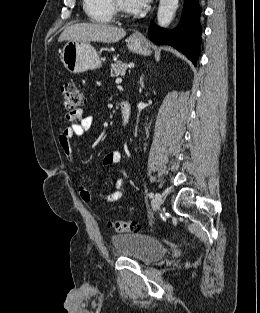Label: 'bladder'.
<instances>
[{
  "label": "bladder",
  "mask_w": 260,
  "mask_h": 313,
  "mask_svg": "<svg viewBox=\"0 0 260 313\" xmlns=\"http://www.w3.org/2000/svg\"><path fill=\"white\" fill-rule=\"evenodd\" d=\"M112 245L126 258L150 263L161 258L166 248L159 240L145 234H122L111 237Z\"/></svg>",
  "instance_id": "obj_1"
}]
</instances>
